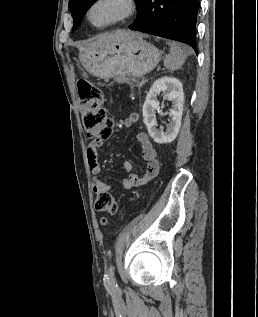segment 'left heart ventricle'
Instances as JSON below:
<instances>
[{
  "label": "left heart ventricle",
  "instance_id": "b2bd125f",
  "mask_svg": "<svg viewBox=\"0 0 258 317\" xmlns=\"http://www.w3.org/2000/svg\"><path fill=\"white\" fill-rule=\"evenodd\" d=\"M120 11V7L116 4L109 2L99 3L93 10V18L98 22H106L115 18Z\"/></svg>",
  "mask_w": 258,
  "mask_h": 317
}]
</instances>
